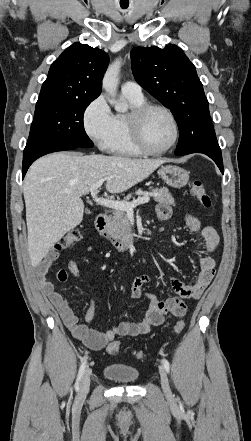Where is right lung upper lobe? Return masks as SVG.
Here are the masks:
<instances>
[{"mask_svg":"<svg viewBox=\"0 0 251 441\" xmlns=\"http://www.w3.org/2000/svg\"><path fill=\"white\" fill-rule=\"evenodd\" d=\"M108 63L103 50L74 43L52 63L38 101L97 98Z\"/></svg>","mask_w":251,"mask_h":441,"instance_id":"1","label":"right lung upper lobe"}]
</instances>
